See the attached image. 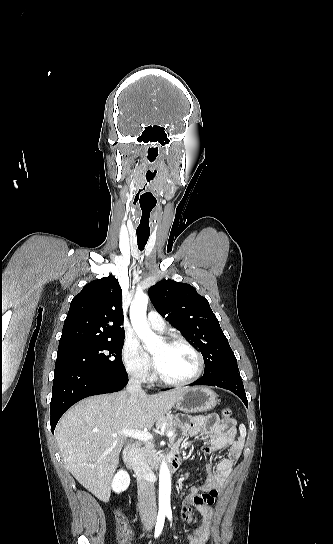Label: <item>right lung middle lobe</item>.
I'll return each mask as SVG.
<instances>
[{
    "label": "right lung middle lobe",
    "mask_w": 333,
    "mask_h": 544,
    "mask_svg": "<svg viewBox=\"0 0 333 544\" xmlns=\"http://www.w3.org/2000/svg\"><path fill=\"white\" fill-rule=\"evenodd\" d=\"M124 336L100 339L58 349L56 364H72L99 374L125 379L128 377L121 352Z\"/></svg>",
    "instance_id": "right-lung-middle-lobe-1"
}]
</instances>
